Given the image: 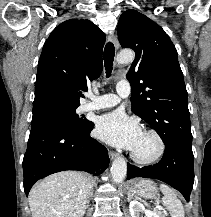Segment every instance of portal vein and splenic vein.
Segmentation results:
<instances>
[{"label":"portal vein and splenic vein","mask_w":211,"mask_h":217,"mask_svg":"<svg viewBox=\"0 0 211 217\" xmlns=\"http://www.w3.org/2000/svg\"><path fill=\"white\" fill-rule=\"evenodd\" d=\"M156 208L159 209V210L163 209L162 206H160V205H156Z\"/></svg>","instance_id":"portal-vein-and-splenic-vein-1"}]
</instances>
